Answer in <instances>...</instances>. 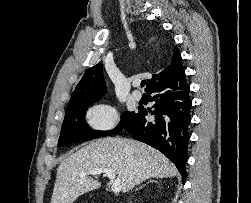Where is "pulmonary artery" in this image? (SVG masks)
Returning <instances> with one entry per match:
<instances>
[{"label":"pulmonary artery","instance_id":"e3ab8cb5","mask_svg":"<svg viewBox=\"0 0 251 203\" xmlns=\"http://www.w3.org/2000/svg\"><path fill=\"white\" fill-rule=\"evenodd\" d=\"M132 97L135 99V100H140L142 98V93L138 90H134L132 92Z\"/></svg>","mask_w":251,"mask_h":203}]
</instances>
